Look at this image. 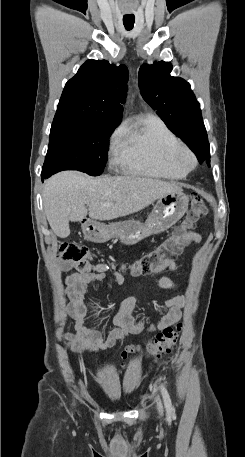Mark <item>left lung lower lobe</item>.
Returning <instances> with one entry per match:
<instances>
[{
	"label": "left lung lower lobe",
	"mask_w": 245,
	"mask_h": 457,
	"mask_svg": "<svg viewBox=\"0 0 245 457\" xmlns=\"http://www.w3.org/2000/svg\"><path fill=\"white\" fill-rule=\"evenodd\" d=\"M198 160L200 163L206 161L208 165H210V148L203 150V152L198 156Z\"/></svg>",
	"instance_id": "left-lung-lower-lobe-1"
}]
</instances>
